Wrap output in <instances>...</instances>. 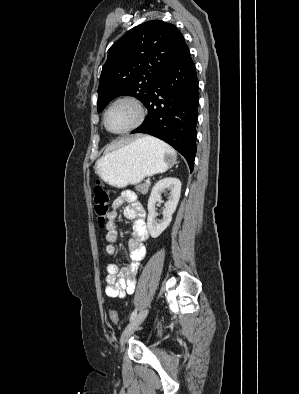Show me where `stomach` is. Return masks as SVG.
<instances>
[{"label": "stomach", "instance_id": "0dacf381", "mask_svg": "<svg viewBox=\"0 0 299 394\" xmlns=\"http://www.w3.org/2000/svg\"><path fill=\"white\" fill-rule=\"evenodd\" d=\"M175 162V153L156 143L152 137H142L105 153L94 168L103 181L115 187H126L165 172Z\"/></svg>", "mask_w": 299, "mask_h": 394}]
</instances>
